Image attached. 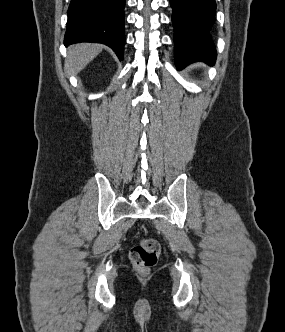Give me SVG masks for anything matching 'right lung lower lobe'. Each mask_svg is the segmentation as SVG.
<instances>
[{"mask_svg":"<svg viewBox=\"0 0 285 332\" xmlns=\"http://www.w3.org/2000/svg\"><path fill=\"white\" fill-rule=\"evenodd\" d=\"M125 0H71L64 44L103 43L123 59Z\"/></svg>","mask_w":285,"mask_h":332,"instance_id":"98d812e1","label":"right lung lower lobe"}]
</instances>
